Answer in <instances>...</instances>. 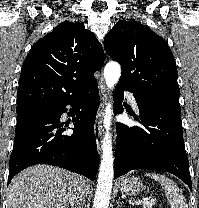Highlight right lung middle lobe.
<instances>
[{
    "mask_svg": "<svg viewBox=\"0 0 199 208\" xmlns=\"http://www.w3.org/2000/svg\"><path fill=\"white\" fill-rule=\"evenodd\" d=\"M36 107H38V106H36ZM36 107H28V108L18 109L17 113H19L21 111H24V110H28V109H33V108H36Z\"/></svg>",
    "mask_w": 199,
    "mask_h": 208,
    "instance_id": "obj_1",
    "label": "right lung middle lobe"
}]
</instances>
